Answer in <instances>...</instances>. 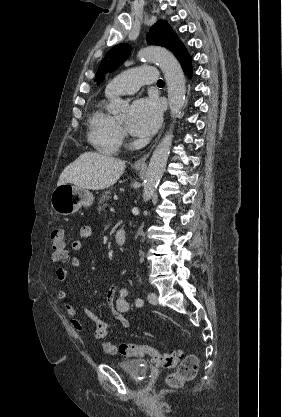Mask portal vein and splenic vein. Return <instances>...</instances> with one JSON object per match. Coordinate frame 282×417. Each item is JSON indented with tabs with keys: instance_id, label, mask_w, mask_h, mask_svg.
<instances>
[{
	"instance_id": "18ae733b",
	"label": "portal vein and splenic vein",
	"mask_w": 282,
	"mask_h": 417,
	"mask_svg": "<svg viewBox=\"0 0 282 417\" xmlns=\"http://www.w3.org/2000/svg\"><path fill=\"white\" fill-rule=\"evenodd\" d=\"M113 199H114V200H118V199H119V196H118V195H114V196H113Z\"/></svg>"
}]
</instances>
